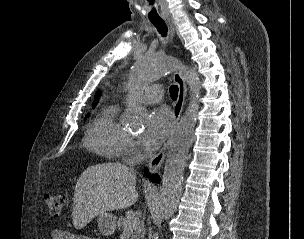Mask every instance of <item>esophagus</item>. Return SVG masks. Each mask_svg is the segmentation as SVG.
Instances as JSON below:
<instances>
[{"label": "esophagus", "mask_w": 304, "mask_h": 239, "mask_svg": "<svg viewBox=\"0 0 304 239\" xmlns=\"http://www.w3.org/2000/svg\"><path fill=\"white\" fill-rule=\"evenodd\" d=\"M168 23L171 26L172 35L175 36V30L169 19H168ZM173 78H174L175 83L178 86V97H177V100L173 107L174 124H173L170 134H169L166 142L164 143L163 147L148 162V168H149V171L151 174H155V173L159 172V170L163 164V161L165 159V156H166L167 150L169 148V145L171 143L172 137L179 124L180 116H181L184 102H185L187 88H186V84H185V81H184V78H183L181 72L176 71L174 73Z\"/></svg>", "instance_id": "1"}]
</instances>
